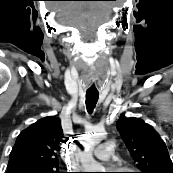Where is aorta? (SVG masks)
Segmentation results:
<instances>
[{
	"mask_svg": "<svg viewBox=\"0 0 173 173\" xmlns=\"http://www.w3.org/2000/svg\"><path fill=\"white\" fill-rule=\"evenodd\" d=\"M104 133L100 128L93 129L84 137V143L88 150L79 153L80 162L84 172H104L101 164L95 161L92 152L89 150L91 147L100 143Z\"/></svg>",
	"mask_w": 173,
	"mask_h": 173,
	"instance_id": "1",
	"label": "aorta"
}]
</instances>
